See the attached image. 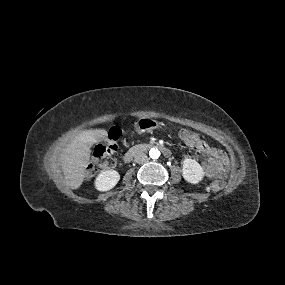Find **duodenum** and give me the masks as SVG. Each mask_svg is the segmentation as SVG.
I'll use <instances>...</instances> for the list:
<instances>
[{"label": "duodenum", "instance_id": "duodenum-1", "mask_svg": "<svg viewBox=\"0 0 285 285\" xmlns=\"http://www.w3.org/2000/svg\"><path fill=\"white\" fill-rule=\"evenodd\" d=\"M151 146L152 145H149V144H138L136 146L131 147L129 150H127L125 152V154L123 156V161L124 162L131 161L135 155H137L138 153L146 151ZM154 146L158 147L165 157H170L171 152L166 146H163V145H154Z\"/></svg>", "mask_w": 285, "mask_h": 285}]
</instances>
